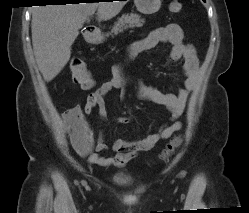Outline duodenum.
<instances>
[{
  "label": "duodenum",
  "mask_w": 249,
  "mask_h": 213,
  "mask_svg": "<svg viewBox=\"0 0 249 213\" xmlns=\"http://www.w3.org/2000/svg\"><path fill=\"white\" fill-rule=\"evenodd\" d=\"M97 29L94 26L87 28L86 30V40L89 43H95L97 38Z\"/></svg>",
  "instance_id": "1"
}]
</instances>
